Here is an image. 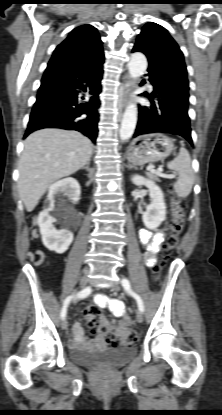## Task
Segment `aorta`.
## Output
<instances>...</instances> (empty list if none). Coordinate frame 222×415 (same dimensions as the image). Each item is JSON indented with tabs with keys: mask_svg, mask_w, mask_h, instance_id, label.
I'll return each mask as SVG.
<instances>
[{
	"mask_svg": "<svg viewBox=\"0 0 222 415\" xmlns=\"http://www.w3.org/2000/svg\"><path fill=\"white\" fill-rule=\"evenodd\" d=\"M148 66L145 55L141 52H135L131 55L128 63L129 74L132 79H137L146 71ZM137 123V107L134 103H129L123 114L121 127L119 130L120 139L127 141L134 133Z\"/></svg>",
	"mask_w": 222,
	"mask_h": 415,
	"instance_id": "1",
	"label": "aorta"
}]
</instances>
